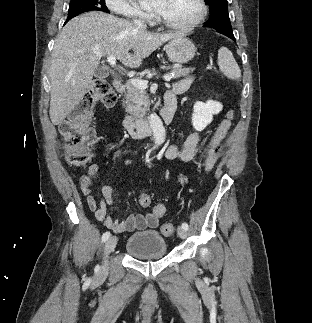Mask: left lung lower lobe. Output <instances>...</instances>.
<instances>
[{
  "label": "left lung lower lobe",
  "mask_w": 312,
  "mask_h": 323,
  "mask_svg": "<svg viewBox=\"0 0 312 323\" xmlns=\"http://www.w3.org/2000/svg\"><path fill=\"white\" fill-rule=\"evenodd\" d=\"M219 33H221V34H223V35H226V36H228L229 38H231L232 40H234V41H235V37H234V35H233V34L226 33V32H219Z\"/></svg>",
  "instance_id": "left-lung-lower-lobe-1"
}]
</instances>
